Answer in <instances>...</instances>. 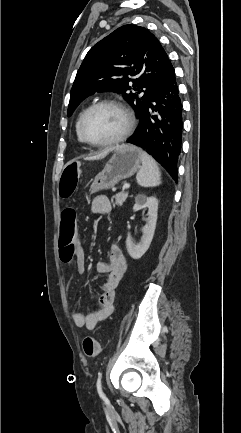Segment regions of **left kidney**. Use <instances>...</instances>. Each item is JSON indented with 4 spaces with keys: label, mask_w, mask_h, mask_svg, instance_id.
<instances>
[{
    "label": "left kidney",
    "mask_w": 241,
    "mask_h": 433,
    "mask_svg": "<svg viewBox=\"0 0 241 433\" xmlns=\"http://www.w3.org/2000/svg\"><path fill=\"white\" fill-rule=\"evenodd\" d=\"M141 208H148L147 223L142 228V239L138 244H134L129 236L126 239V248L128 254L133 259H140L148 250L151 244L157 222L158 200L155 197L138 195L135 198V205L133 207V210H139Z\"/></svg>",
    "instance_id": "5707ae66"
}]
</instances>
